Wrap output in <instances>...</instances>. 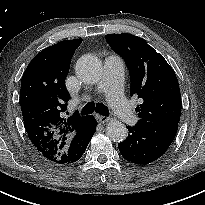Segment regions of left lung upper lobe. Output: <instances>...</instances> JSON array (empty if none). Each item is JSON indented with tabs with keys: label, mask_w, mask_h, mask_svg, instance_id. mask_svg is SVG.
I'll return each instance as SVG.
<instances>
[{
	"label": "left lung upper lobe",
	"mask_w": 205,
	"mask_h": 205,
	"mask_svg": "<svg viewBox=\"0 0 205 205\" xmlns=\"http://www.w3.org/2000/svg\"><path fill=\"white\" fill-rule=\"evenodd\" d=\"M106 40L126 62L130 72V95L143 99L136 108L140 122L178 123L181 94L172 67L146 40L128 34H109Z\"/></svg>",
	"instance_id": "left-lung-upper-lobe-1"
}]
</instances>
